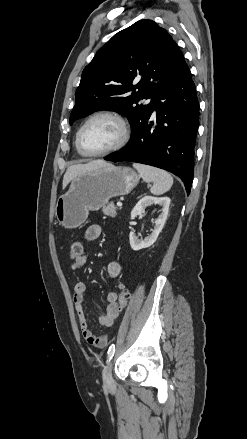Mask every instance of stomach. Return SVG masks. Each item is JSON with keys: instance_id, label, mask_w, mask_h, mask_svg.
<instances>
[{"instance_id": "obj_1", "label": "stomach", "mask_w": 247, "mask_h": 439, "mask_svg": "<svg viewBox=\"0 0 247 439\" xmlns=\"http://www.w3.org/2000/svg\"><path fill=\"white\" fill-rule=\"evenodd\" d=\"M130 167L109 165L75 177L56 203L55 216L67 229L80 226L89 211H97L117 196L128 194L139 182Z\"/></svg>"}]
</instances>
